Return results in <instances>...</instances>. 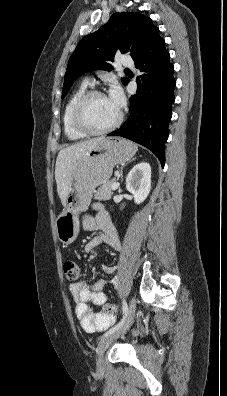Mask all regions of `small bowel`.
<instances>
[{"label":"small bowel","mask_w":227,"mask_h":396,"mask_svg":"<svg viewBox=\"0 0 227 396\" xmlns=\"http://www.w3.org/2000/svg\"><path fill=\"white\" fill-rule=\"evenodd\" d=\"M83 228L87 231L99 230V236L92 237L85 245L86 252L93 251L101 244H106L114 250L121 247L117 229L111 222L109 216L104 211L97 212L96 215H87L82 222ZM106 274L114 272V266L102 265ZM103 281H78L70 285V292L75 302V315L80 321L81 327L88 333L103 331L110 327L116 321L113 313L94 312L90 304L103 306L106 304L108 297L102 291Z\"/></svg>","instance_id":"c3829d8e"}]
</instances>
